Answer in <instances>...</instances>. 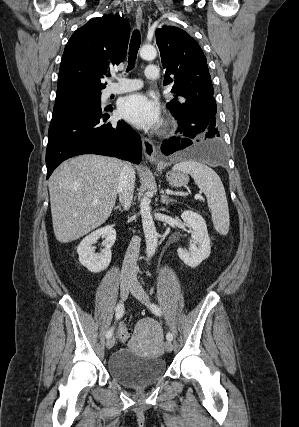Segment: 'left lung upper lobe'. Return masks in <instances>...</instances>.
<instances>
[{"instance_id":"1","label":"left lung upper lobe","mask_w":299,"mask_h":427,"mask_svg":"<svg viewBox=\"0 0 299 427\" xmlns=\"http://www.w3.org/2000/svg\"><path fill=\"white\" fill-rule=\"evenodd\" d=\"M165 69L164 85H172L171 92L176 99L167 104L174 116L179 115L181 106H208L216 122V101L206 57L199 44L184 30L163 26L155 32ZM172 76V77H170Z\"/></svg>"}]
</instances>
